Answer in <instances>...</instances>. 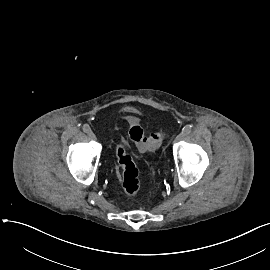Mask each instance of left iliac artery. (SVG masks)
<instances>
[{"label": "left iliac artery", "instance_id": "obj_1", "mask_svg": "<svg viewBox=\"0 0 270 270\" xmlns=\"http://www.w3.org/2000/svg\"><path fill=\"white\" fill-rule=\"evenodd\" d=\"M191 131H192V126H191V125H186V126H184V128L182 129V133H184V135L190 134Z\"/></svg>", "mask_w": 270, "mask_h": 270}]
</instances>
